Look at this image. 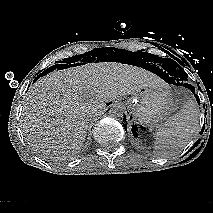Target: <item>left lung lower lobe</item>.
Masks as SVG:
<instances>
[{
	"label": "left lung lower lobe",
	"instance_id": "0a47b994",
	"mask_svg": "<svg viewBox=\"0 0 213 213\" xmlns=\"http://www.w3.org/2000/svg\"><path fill=\"white\" fill-rule=\"evenodd\" d=\"M162 79H164L166 82H168V83H172V84H175V85H178V86H184V87H186V88H189L193 93L195 92V88L192 86V85H190V84H187V83H184V82H181V81H176L172 76H170L169 75V73L168 72H166V71H163V70H159L158 69V73H157ZM195 97H196V100H197V102H198V104H199V100H198V97H197V95H195ZM124 121H125V114H124V119H123ZM127 123V122H126ZM134 129H137L136 127L134 128ZM132 132H133V129H132ZM134 134V133H133Z\"/></svg>",
	"mask_w": 213,
	"mask_h": 213
}]
</instances>
